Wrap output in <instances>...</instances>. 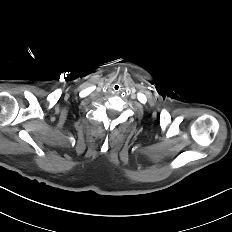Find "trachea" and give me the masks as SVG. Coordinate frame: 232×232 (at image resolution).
I'll return each mask as SVG.
<instances>
[{"instance_id":"trachea-1","label":"trachea","mask_w":232,"mask_h":232,"mask_svg":"<svg viewBox=\"0 0 232 232\" xmlns=\"http://www.w3.org/2000/svg\"><path fill=\"white\" fill-rule=\"evenodd\" d=\"M121 89H122V86H121L120 83H115V84L112 86V90H113L114 92H120Z\"/></svg>"}]
</instances>
